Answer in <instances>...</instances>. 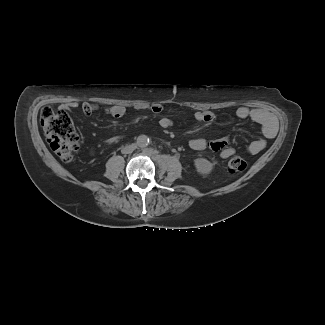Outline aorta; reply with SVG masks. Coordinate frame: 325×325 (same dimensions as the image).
Wrapping results in <instances>:
<instances>
[{
  "label": "aorta",
  "mask_w": 325,
  "mask_h": 325,
  "mask_svg": "<svg viewBox=\"0 0 325 325\" xmlns=\"http://www.w3.org/2000/svg\"><path fill=\"white\" fill-rule=\"evenodd\" d=\"M136 144L139 148H145L150 144V139L146 135H140L137 138Z\"/></svg>",
  "instance_id": "obj_1"
}]
</instances>
